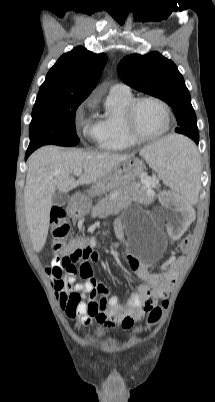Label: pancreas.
<instances>
[{
	"label": "pancreas",
	"instance_id": "pancreas-1",
	"mask_svg": "<svg viewBox=\"0 0 215 402\" xmlns=\"http://www.w3.org/2000/svg\"><path fill=\"white\" fill-rule=\"evenodd\" d=\"M153 188V185L132 184L126 187L117 188L109 195L100 200L91 210V217H106L117 214L133 201L136 192L144 193Z\"/></svg>",
	"mask_w": 215,
	"mask_h": 402
}]
</instances>
